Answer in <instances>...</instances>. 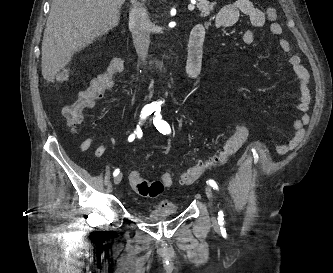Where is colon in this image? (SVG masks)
Instances as JSON below:
<instances>
[{"mask_svg": "<svg viewBox=\"0 0 333 273\" xmlns=\"http://www.w3.org/2000/svg\"><path fill=\"white\" fill-rule=\"evenodd\" d=\"M265 12L269 21L276 19L277 11L275 8L269 7ZM123 69L124 61L120 58L114 59L105 73L94 79L85 90L79 93L77 99L72 104L64 108L63 114L66 124L71 130H75L81 123L84 110L93 107L95 102L101 99L106 91L111 89L114 77ZM248 135L249 126L247 124L238 126L216 156L209 160L201 161L182 173L180 175V183L182 185H189L198 179L206 169L226 163L243 146ZM128 180L134 192L140 196L151 198L159 196L165 187H170L173 184V177L170 173L163 174L159 181L151 182L142 177L137 169H131L128 172Z\"/></svg>", "mask_w": 333, "mask_h": 273, "instance_id": "colon-1", "label": "colon"}]
</instances>
